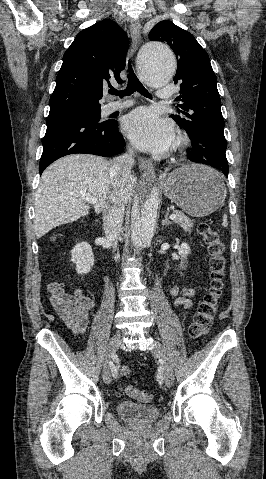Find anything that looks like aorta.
I'll return each mask as SVG.
<instances>
[{
  "instance_id": "762f6f07",
  "label": "aorta",
  "mask_w": 266,
  "mask_h": 479,
  "mask_svg": "<svg viewBox=\"0 0 266 479\" xmlns=\"http://www.w3.org/2000/svg\"><path fill=\"white\" fill-rule=\"evenodd\" d=\"M139 68L153 87L167 84L175 73V58L171 49L161 42H150L139 51ZM159 209V192L155 186L143 183L137 196L131 224V240L136 252L141 251L144 243H149L155 232Z\"/></svg>"
}]
</instances>
